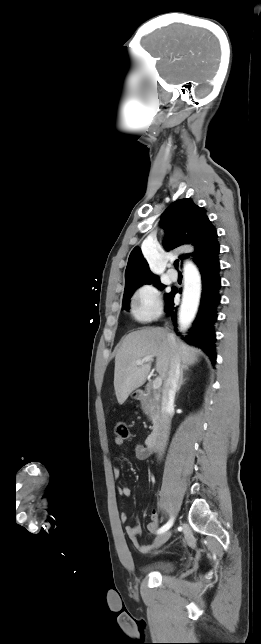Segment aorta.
<instances>
[{"label": "aorta", "mask_w": 261, "mask_h": 644, "mask_svg": "<svg viewBox=\"0 0 261 644\" xmlns=\"http://www.w3.org/2000/svg\"><path fill=\"white\" fill-rule=\"evenodd\" d=\"M200 295V278L195 266L187 262L184 265V291L179 310V322L186 328L194 318Z\"/></svg>", "instance_id": "1"}]
</instances>
